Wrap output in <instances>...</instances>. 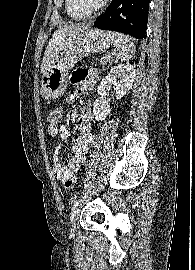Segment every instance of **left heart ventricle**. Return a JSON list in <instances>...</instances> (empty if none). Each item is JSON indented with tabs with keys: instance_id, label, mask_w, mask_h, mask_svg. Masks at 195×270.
<instances>
[{
	"instance_id": "1",
	"label": "left heart ventricle",
	"mask_w": 195,
	"mask_h": 270,
	"mask_svg": "<svg viewBox=\"0 0 195 270\" xmlns=\"http://www.w3.org/2000/svg\"><path fill=\"white\" fill-rule=\"evenodd\" d=\"M83 3L88 7H93L97 5L101 0H82Z\"/></svg>"
}]
</instances>
